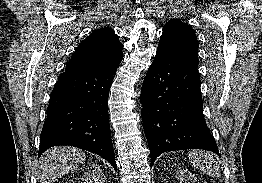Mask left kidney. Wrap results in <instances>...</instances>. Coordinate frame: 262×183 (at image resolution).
I'll use <instances>...</instances> for the list:
<instances>
[{
    "instance_id": "obj_1",
    "label": "left kidney",
    "mask_w": 262,
    "mask_h": 183,
    "mask_svg": "<svg viewBox=\"0 0 262 183\" xmlns=\"http://www.w3.org/2000/svg\"><path fill=\"white\" fill-rule=\"evenodd\" d=\"M178 183H195L197 180L196 176L187 170L177 171Z\"/></svg>"
}]
</instances>
